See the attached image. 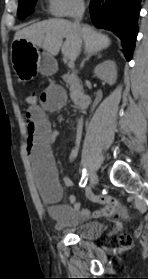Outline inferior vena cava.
Here are the masks:
<instances>
[{"label":"inferior vena cava","instance_id":"inferior-vena-cava-1","mask_svg":"<svg viewBox=\"0 0 148 279\" xmlns=\"http://www.w3.org/2000/svg\"><path fill=\"white\" fill-rule=\"evenodd\" d=\"M84 12H85V7L83 5H81V6L78 7V9L75 13V16H74L75 21L73 23V27H74L76 32H79V30H80V27H81L80 26V21L83 17ZM80 48H81V41L78 40V42H77V54L78 55L80 53Z\"/></svg>","mask_w":148,"mask_h":279}]
</instances>
